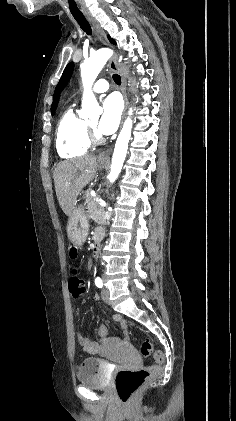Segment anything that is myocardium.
<instances>
[{"instance_id":"myocardium-1","label":"myocardium","mask_w":236,"mask_h":421,"mask_svg":"<svg viewBox=\"0 0 236 421\" xmlns=\"http://www.w3.org/2000/svg\"><path fill=\"white\" fill-rule=\"evenodd\" d=\"M84 132L90 145H98L103 142V137L99 134L97 129H94L88 122L84 124Z\"/></svg>"}]
</instances>
